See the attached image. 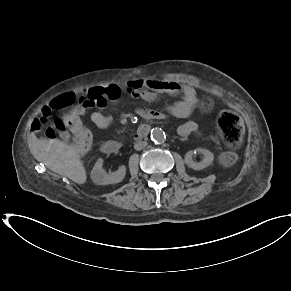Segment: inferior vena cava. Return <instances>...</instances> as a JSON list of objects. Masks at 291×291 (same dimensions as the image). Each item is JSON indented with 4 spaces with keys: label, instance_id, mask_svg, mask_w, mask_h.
<instances>
[{
    "label": "inferior vena cava",
    "instance_id": "obj_1",
    "mask_svg": "<svg viewBox=\"0 0 291 291\" xmlns=\"http://www.w3.org/2000/svg\"><path fill=\"white\" fill-rule=\"evenodd\" d=\"M147 146V142L146 141H138L134 144V149L135 150H141L143 149L144 147Z\"/></svg>",
    "mask_w": 291,
    "mask_h": 291
}]
</instances>
